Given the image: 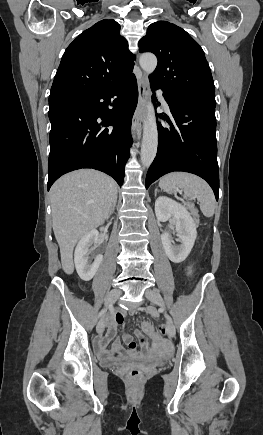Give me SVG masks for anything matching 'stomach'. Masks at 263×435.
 <instances>
[{
  "label": "stomach",
  "mask_w": 263,
  "mask_h": 435,
  "mask_svg": "<svg viewBox=\"0 0 263 435\" xmlns=\"http://www.w3.org/2000/svg\"><path fill=\"white\" fill-rule=\"evenodd\" d=\"M185 280L187 283H195L197 280V277L195 274H187L185 277Z\"/></svg>",
  "instance_id": "1"
}]
</instances>
